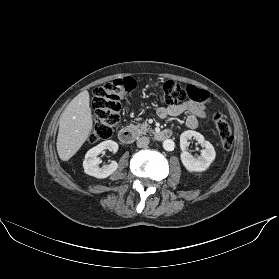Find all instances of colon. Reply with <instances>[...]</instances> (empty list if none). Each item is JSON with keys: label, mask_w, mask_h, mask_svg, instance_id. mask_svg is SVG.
Segmentation results:
<instances>
[{"label": "colon", "mask_w": 279, "mask_h": 279, "mask_svg": "<svg viewBox=\"0 0 279 279\" xmlns=\"http://www.w3.org/2000/svg\"><path fill=\"white\" fill-rule=\"evenodd\" d=\"M135 81L132 78H119L105 83L93 92L94 125L89 135L91 143L108 139L121 121L120 112L126 102V97L134 90ZM161 102L173 106L185 100L197 103H207L210 94L194 86H181L175 81H167L161 88ZM214 124L218 130L220 143L225 150H230L234 144V134L227 118L222 113H215Z\"/></svg>", "instance_id": "obj_1"}]
</instances>
